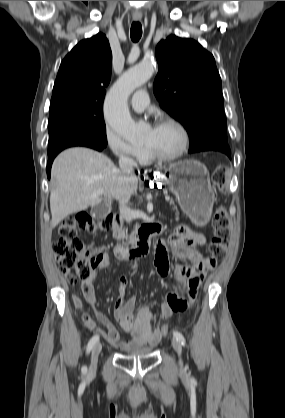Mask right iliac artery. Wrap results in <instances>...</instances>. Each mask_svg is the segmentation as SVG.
I'll return each mask as SVG.
<instances>
[{
    "instance_id": "82829eb1",
    "label": "right iliac artery",
    "mask_w": 285,
    "mask_h": 418,
    "mask_svg": "<svg viewBox=\"0 0 285 418\" xmlns=\"http://www.w3.org/2000/svg\"><path fill=\"white\" fill-rule=\"evenodd\" d=\"M98 341H99V336H98V335L93 336V337L89 340V342H88V345H87V348H86V352H87V353H89V352L91 351V349L94 347V345H95ZM82 372H83V373H85V372H86V366H83V367H82Z\"/></svg>"
}]
</instances>
